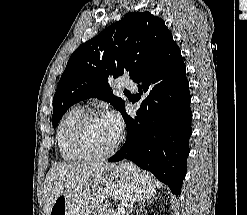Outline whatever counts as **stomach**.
<instances>
[{
	"mask_svg": "<svg viewBox=\"0 0 247 215\" xmlns=\"http://www.w3.org/2000/svg\"><path fill=\"white\" fill-rule=\"evenodd\" d=\"M155 192L148 173L141 172L131 163H122L115 166L100 185L89 191L58 196L49 215H89L110 196L123 202H135L150 199Z\"/></svg>",
	"mask_w": 247,
	"mask_h": 215,
	"instance_id": "0dacf381",
	"label": "stomach"
}]
</instances>
